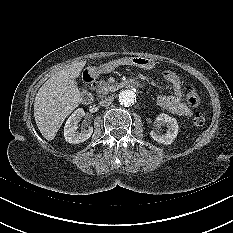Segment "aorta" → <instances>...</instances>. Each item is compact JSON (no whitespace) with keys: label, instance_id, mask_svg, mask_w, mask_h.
<instances>
[{"label":"aorta","instance_id":"762f6f07","mask_svg":"<svg viewBox=\"0 0 233 233\" xmlns=\"http://www.w3.org/2000/svg\"><path fill=\"white\" fill-rule=\"evenodd\" d=\"M138 91L135 88H127L119 93V102L124 106H131L136 103Z\"/></svg>","mask_w":233,"mask_h":233}]
</instances>
